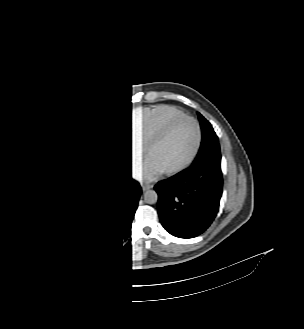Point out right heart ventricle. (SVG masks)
<instances>
[{
  "label": "right heart ventricle",
  "instance_id": "obj_1",
  "mask_svg": "<svg viewBox=\"0 0 304 329\" xmlns=\"http://www.w3.org/2000/svg\"><path fill=\"white\" fill-rule=\"evenodd\" d=\"M185 113L173 105H156L143 109L137 119H132L129 129L143 148L148 141L173 117Z\"/></svg>",
  "mask_w": 304,
  "mask_h": 329
}]
</instances>
